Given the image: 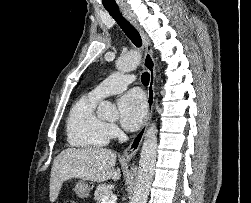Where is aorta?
I'll return each mask as SVG.
<instances>
[{
  "label": "aorta",
  "mask_w": 251,
  "mask_h": 203,
  "mask_svg": "<svg viewBox=\"0 0 251 203\" xmlns=\"http://www.w3.org/2000/svg\"><path fill=\"white\" fill-rule=\"evenodd\" d=\"M141 55L137 51H132L120 57L116 62V68L121 72L132 71L138 67ZM98 116L111 118L117 115L116 107L108 101H102L98 107ZM157 128L152 124L144 137L137 179L131 203H147L151 183L154 175V168L157 156Z\"/></svg>",
  "instance_id": "1"
}]
</instances>
